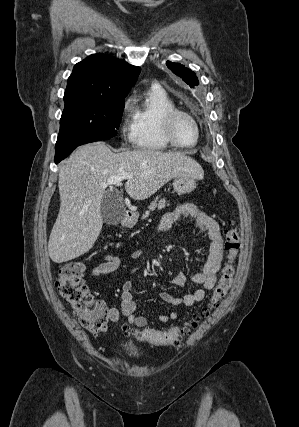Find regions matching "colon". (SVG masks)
Segmentation results:
<instances>
[{"label": "colon", "instance_id": "obj_1", "mask_svg": "<svg viewBox=\"0 0 299 427\" xmlns=\"http://www.w3.org/2000/svg\"><path fill=\"white\" fill-rule=\"evenodd\" d=\"M224 235L227 261L207 306L186 323L167 330L154 328L131 330L136 338L155 345H177L190 333L192 328L209 317L212 309L226 297L232 286L235 273L234 259L240 248L239 231L231 221L228 222ZM83 272L84 265L81 262L66 263L59 271L56 285L60 295L69 304L81 325L92 334L97 335L106 329L108 309L101 301L93 298L82 278Z\"/></svg>", "mask_w": 299, "mask_h": 427}]
</instances>
